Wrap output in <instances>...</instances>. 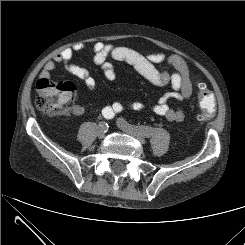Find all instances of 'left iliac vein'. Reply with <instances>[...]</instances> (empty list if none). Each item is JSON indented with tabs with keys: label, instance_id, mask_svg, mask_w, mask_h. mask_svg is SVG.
Segmentation results:
<instances>
[{
	"label": "left iliac vein",
	"instance_id": "obj_1",
	"mask_svg": "<svg viewBox=\"0 0 245 245\" xmlns=\"http://www.w3.org/2000/svg\"><path fill=\"white\" fill-rule=\"evenodd\" d=\"M117 125L125 133H127V134L133 136L134 138H136L141 144H144L146 142V140H145V138H144V136L142 134L138 133L134 129H131V128H128V127L122 125L121 118L117 120Z\"/></svg>",
	"mask_w": 245,
	"mask_h": 245
}]
</instances>
